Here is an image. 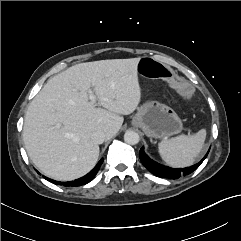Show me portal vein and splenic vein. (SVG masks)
I'll use <instances>...</instances> for the list:
<instances>
[{
	"label": "portal vein and splenic vein",
	"mask_w": 241,
	"mask_h": 241,
	"mask_svg": "<svg viewBox=\"0 0 241 241\" xmlns=\"http://www.w3.org/2000/svg\"><path fill=\"white\" fill-rule=\"evenodd\" d=\"M89 98L91 101L95 100V96L91 90L89 91Z\"/></svg>",
	"instance_id": "obj_1"
}]
</instances>
